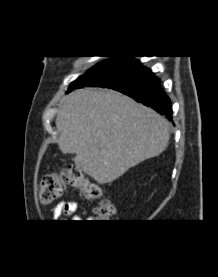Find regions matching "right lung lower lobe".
Returning <instances> with one entry per match:
<instances>
[{
  "label": "right lung lower lobe",
  "mask_w": 218,
  "mask_h": 277,
  "mask_svg": "<svg viewBox=\"0 0 218 277\" xmlns=\"http://www.w3.org/2000/svg\"><path fill=\"white\" fill-rule=\"evenodd\" d=\"M101 83L102 82L99 80L96 73L87 74L80 80L77 88L90 85L101 86ZM114 90L126 94L134 98L136 101L153 108L158 113L165 115L168 120L172 121L170 99L161 89L159 79L151 71L136 82Z\"/></svg>",
  "instance_id": "98d812e1"
}]
</instances>
